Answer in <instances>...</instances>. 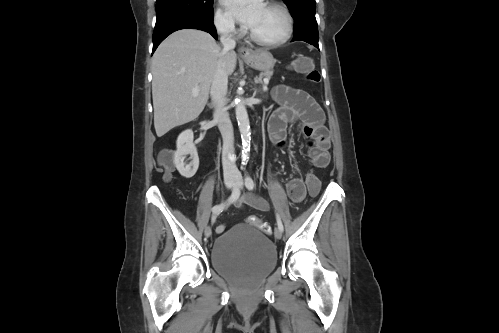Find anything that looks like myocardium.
Masks as SVG:
<instances>
[{
    "instance_id": "1",
    "label": "myocardium",
    "mask_w": 499,
    "mask_h": 333,
    "mask_svg": "<svg viewBox=\"0 0 499 333\" xmlns=\"http://www.w3.org/2000/svg\"><path fill=\"white\" fill-rule=\"evenodd\" d=\"M266 6L273 7L276 9H279L284 17H285V22H286V28H285V33L283 34L282 37L276 40H263L257 37L250 29L248 31V35L250 39L255 42L258 45L261 46H267V47H274V46H279L287 42L293 32V18L292 15L289 11V9L282 3L276 2V1H270L266 4Z\"/></svg>"
}]
</instances>
